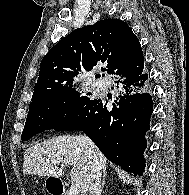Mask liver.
<instances>
[{
  "label": "liver",
  "instance_id": "obj_1",
  "mask_svg": "<svg viewBox=\"0 0 189 195\" xmlns=\"http://www.w3.org/2000/svg\"><path fill=\"white\" fill-rule=\"evenodd\" d=\"M97 160L106 169L107 159L94 145H89L87 137L62 135L36 143L24 153L23 172L25 174L59 178L64 174L63 167L72 166L71 180L79 184L83 193L88 191L92 163Z\"/></svg>",
  "mask_w": 189,
  "mask_h": 195
}]
</instances>
